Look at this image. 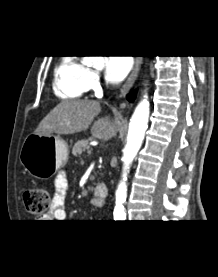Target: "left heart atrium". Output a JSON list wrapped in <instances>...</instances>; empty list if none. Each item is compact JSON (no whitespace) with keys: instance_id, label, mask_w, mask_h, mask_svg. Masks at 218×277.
I'll return each instance as SVG.
<instances>
[{"instance_id":"obj_1","label":"left heart atrium","mask_w":218,"mask_h":277,"mask_svg":"<svg viewBox=\"0 0 218 277\" xmlns=\"http://www.w3.org/2000/svg\"><path fill=\"white\" fill-rule=\"evenodd\" d=\"M107 80L112 83L122 81L129 73L132 62L126 57H108L105 63Z\"/></svg>"}]
</instances>
